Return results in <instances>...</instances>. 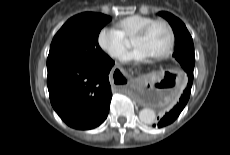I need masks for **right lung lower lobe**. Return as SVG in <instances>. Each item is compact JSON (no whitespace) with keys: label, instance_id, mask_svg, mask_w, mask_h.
<instances>
[{"label":"right lung lower lobe","instance_id":"obj_1","mask_svg":"<svg viewBox=\"0 0 230 155\" xmlns=\"http://www.w3.org/2000/svg\"><path fill=\"white\" fill-rule=\"evenodd\" d=\"M114 61L93 64H58L47 67L51 104L70 127L87 130L99 126L112 98L108 75Z\"/></svg>","mask_w":230,"mask_h":155}]
</instances>
